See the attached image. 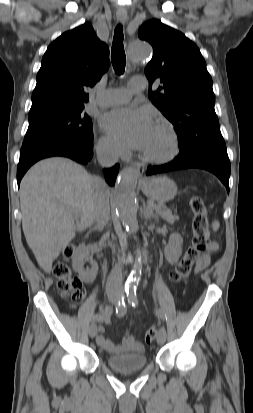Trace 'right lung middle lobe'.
Returning <instances> with one entry per match:
<instances>
[{"instance_id":"obj_1","label":"right lung middle lobe","mask_w":253,"mask_h":413,"mask_svg":"<svg viewBox=\"0 0 253 413\" xmlns=\"http://www.w3.org/2000/svg\"><path fill=\"white\" fill-rule=\"evenodd\" d=\"M83 109L84 105H77L29 112L21 152L59 142H92V120Z\"/></svg>"}]
</instances>
